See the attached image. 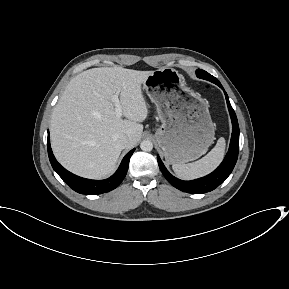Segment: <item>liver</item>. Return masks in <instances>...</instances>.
<instances>
[{
	"label": "liver",
	"mask_w": 289,
	"mask_h": 289,
	"mask_svg": "<svg viewBox=\"0 0 289 289\" xmlns=\"http://www.w3.org/2000/svg\"><path fill=\"white\" fill-rule=\"evenodd\" d=\"M152 72L116 66L92 68L74 77L51 118V146L56 159L82 177L110 175L122 151L117 140L127 137L129 149L142 136L141 122L148 116V107L141 84ZM115 94L126 119L115 114Z\"/></svg>",
	"instance_id": "liver-1"
}]
</instances>
